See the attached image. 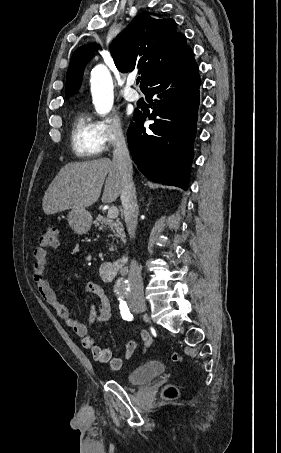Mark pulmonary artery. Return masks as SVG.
I'll return each instance as SVG.
<instances>
[{
    "instance_id": "pulmonary-artery-1",
    "label": "pulmonary artery",
    "mask_w": 281,
    "mask_h": 453,
    "mask_svg": "<svg viewBox=\"0 0 281 453\" xmlns=\"http://www.w3.org/2000/svg\"><path fill=\"white\" fill-rule=\"evenodd\" d=\"M134 82L133 77H129L127 85L121 91L122 96L128 101H137L140 99L139 93L131 87Z\"/></svg>"
}]
</instances>
